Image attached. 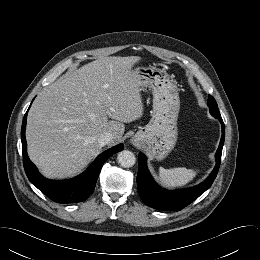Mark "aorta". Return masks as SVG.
Wrapping results in <instances>:
<instances>
[{"mask_svg":"<svg viewBox=\"0 0 260 260\" xmlns=\"http://www.w3.org/2000/svg\"><path fill=\"white\" fill-rule=\"evenodd\" d=\"M117 160L120 166L124 168L132 167L136 162L135 155L129 150L119 152Z\"/></svg>","mask_w":260,"mask_h":260,"instance_id":"obj_1","label":"aorta"}]
</instances>
